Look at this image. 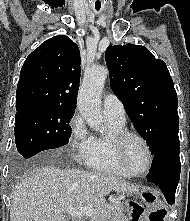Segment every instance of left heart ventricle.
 Returning <instances> with one entry per match:
<instances>
[{
  "label": "left heart ventricle",
  "mask_w": 190,
  "mask_h": 221,
  "mask_svg": "<svg viewBox=\"0 0 190 221\" xmlns=\"http://www.w3.org/2000/svg\"><path fill=\"white\" fill-rule=\"evenodd\" d=\"M124 157L128 166L136 172H143L148 166V152L145 146L136 138L127 140Z\"/></svg>",
  "instance_id": "b2bd125f"
}]
</instances>
